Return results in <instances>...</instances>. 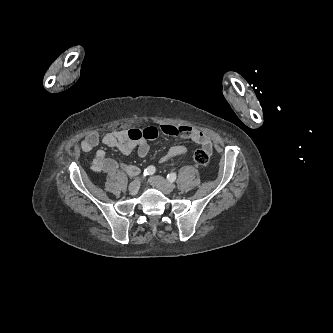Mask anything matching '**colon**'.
Returning <instances> with one entry per match:
<instances>
[{"label":"colon","instance_id":"1","mask_svg":"<svg viewBox=\"0 0 333 333\" xmlns=\"http://www.w3.org/2000/svg\"><path fill=\"white\" fill-rule=\"evenodd\" d=\"M193 159L197 165L204 166L208 164L210 155L203 149H197L194 151Z\"/></svg>","mask_w":333,"mask_h":333}]
</instances>
